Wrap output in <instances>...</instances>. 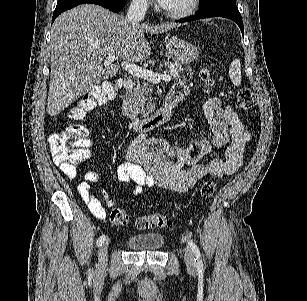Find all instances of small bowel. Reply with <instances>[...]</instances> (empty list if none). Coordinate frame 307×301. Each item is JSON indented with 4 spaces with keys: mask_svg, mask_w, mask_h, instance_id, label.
I'll list each match as a JSON object with an SVG mask.
<instances>
[{
    "mask_svg": "<svg viewBox=\"0 0 307 301\" xmlns=\"http://www.w3.org/2000/svg\"><path fill=\"white\" fill-rule=\"evenodd\" d=\"M171 91L184 97L189 89L185 83L180 82ZM204 112L213 133L211 141L198 140L183 148L172 147L161 139L146 140L140 137L129 146L127 162L117 167V179L122 183H134V195H140L152 186L183 193L208 175L221 177L235 173L243 164L251 139L250 131L241 122L234 108L229 104L223 105L219 99L207 101ZM86 144L88 147L92 145L90 138H87ZM213 148H225V159L203 161ZM56 163L67 176H76L75 167ZM99 178L97 171H88L77 190L90 212L96 218L104 219L106 211L103 201L109 206L112 202L108 200L104 189L101 190V198L93 192L92 184L98 182Z\"/></svg>",
    "mask_w": 307,
    "mask_h": 301,
    "instance_id": "small-bowel-1",
    "label": "small bowel"
}]
</instances>
